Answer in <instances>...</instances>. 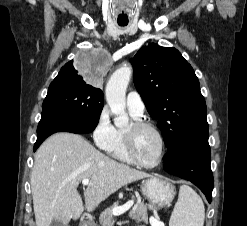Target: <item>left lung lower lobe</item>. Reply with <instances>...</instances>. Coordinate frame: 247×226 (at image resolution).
Here are the masks:
<instances>
[{
  "instance_id": "left-lung-lower-lobe-1",
  "label": "left lung lower lobe",
  "mask_w": 247,
  "mask_h": 226,
  "mask_svg": "<svg viewBox=\"0 0 247 226\" xmlns=\"http://www.w3.org/2000/svg\"><path fill=\"white\" fill-rule=\"evenodd\" d=\"M208 131L198 132L168 150L164 156V170L191 181L205 194L209 203L212 199L213 174L210 167Z\"/></svg>"
}]
</instances>
